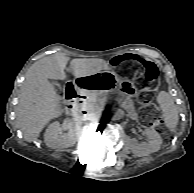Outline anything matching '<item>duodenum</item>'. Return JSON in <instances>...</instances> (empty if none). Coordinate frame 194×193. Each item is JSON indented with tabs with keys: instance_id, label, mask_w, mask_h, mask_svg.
Wrapping results in <instances>:
<instances>
[{
	"instance_id": "duodenum-1",
	"label": "duodenum",
	"mask_w": 194,
	"mask_h": 193,
	"mask_svg": "<svg viewBox=\"0 0 194 193\" xmlns=\"http://www.w3.org/2000/svg\"><path fill=\"white\" fill-rule=\"evenodd\" d=\"M66 96L69 99L68 110L71 115L80 116L86 113V105L88 101L86 95L80 93V91L76 90L73 85L70 84Z\"/></svg>"
}]
</instances>
